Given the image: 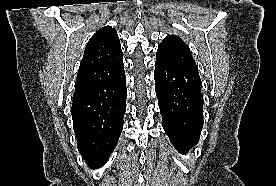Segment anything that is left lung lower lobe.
Returning <instances> with one entry per match:
<instances>
[{
  "mask_svg": "<svg viewBox=\"0 0 276 186\" xmlns=\"http://www.w3.org/2000/svg\"><path fill=\"white\" fill-rule=\"evenodd\" d=\"M154 78L164 131L174 147L186 154L198 143L203 127L199 73L155 62Z\"/></svg>",
  "mask_w": 276,
  "mask_h": 186,
  "instance_id": "left-lung-lower-lobe-1",
  "label": "left lung lower lobe"
}]
</instances>
